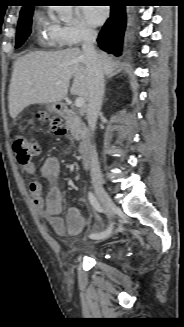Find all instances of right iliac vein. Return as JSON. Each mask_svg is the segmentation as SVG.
Returning a JSON list of instances; mask_svg holds the SVG:
<instances>
[{
	"mask_svg": "<svg viewBox=\"0 0 184 327\" xmlns=\"http://www.w3.org/2000/svg\"><path fill=\"white\" fill-rule=\"evenodd\" d=\"M94 189L99 200L101 201V203L103 204L106 210L108 219H111L116 210L115 204L113 203L112 199L110 198V196L108 195V193L106 192V190L104 189V187L100 182H96L94 184Z\"/></svg>",
	"mask_w": 184,
	"mask_h": 327,
	"instance_id": "1",
	"label": "right iliac vein"
}]
</instances>
